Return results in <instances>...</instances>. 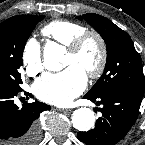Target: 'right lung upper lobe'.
Here are the masks:
<instances>
[{
    "instance_id": "obj_1",
    "label": "right lung upper lobe",
    "mask_w": 145,
    "mask_h": 145,
    "mask_svg": "<svg viewBox=\"0 0 145 145\" xmlns=\"http://www.w3.org/2000/svg\"><path fill=\"white\" fill-rule=\"evenodd\" d=\"M26 16L28 15H18V16H14V17H11L7 20H5L4 22H2L3 24H9V23H13V22H16L18 20H21L23 18H25Z\"/></svg>"
}]
</instances>
